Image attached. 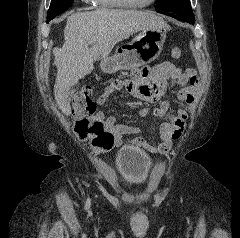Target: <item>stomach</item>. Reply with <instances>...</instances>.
Wrapping results in <instances>:
<instances>
[{"label":"stomach","instance_id":"obj_1","mask_svg":"<svg viewBox=\"0 0 240 238\" xmlns=\"http://www.w3.org/2000/svg\"><path fill=\"white\" fill-rule=\"evenodd\" d=\"M167 29L149 27L142 30L130 43L116 49L114 56L101 62L106 73L129 70L154 61L159 57L166 39Z\"/></svg>","mask_w":240,"mask_h":238}]
</instances>
